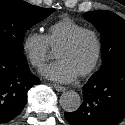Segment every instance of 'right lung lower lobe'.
Returning <instances> with one entry per match:
<instances>
[{
	"mask_svg": "<svg viewBox=\"0 0 125 125\" xmlns=\"http://www.w3.org/2000/svg\"><path fill=\"white\" fill-rule=\"evenodd\" d=\"M39 83L31 74L23 53L0 44V123L21 113L28 90Z\"/></svg>",
	"mask_w": 125,
	"mask_h": 125,
	"instance_id": "98d812e1",
	"label": "right lung lower lobe"
}]
</instances>
